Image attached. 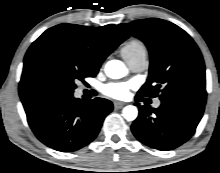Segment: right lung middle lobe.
Segmentation results:
<instances>
[{"mask_svg":"<svg viewBox=\"0 0 220 173\" xmlns=\"http://www.w3.org/2000/svg\"><path fill=\"white\" fill-rule=\"evenodd\" d=\"M97 73L72 64L59 65L49 74L46 92L73 93L76 80L84 82L86 77H95Z\"/></svg>","mask_w":220,"mask_h":173,"instance_id":"right-lung-middle-lobe-1","label":"right lung middle lobe"}]
</instances>
